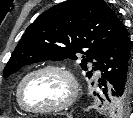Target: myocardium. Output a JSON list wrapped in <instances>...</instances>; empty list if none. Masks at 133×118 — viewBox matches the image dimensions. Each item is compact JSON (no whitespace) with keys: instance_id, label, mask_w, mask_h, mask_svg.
<instances>
[{"instance_id":"obj_1","label":"myocardium","mask_w":133,"mask_h":118,"mask_svg":"<svg viewBox=\"0 0 133 118\" xmlns=\"http://www.w3.org/2000/svg\"><path fill=\"white\" fill-rule=\"evenodd\" d=\"M46 71H53V72L62 74L68 82L69 94L65 100H63L61 103H58L56 105L42 107V108H31L27 106L23 100V87L26 81L31 76L37 73L46 72ZM78 93H79V84L73 71L70 68L66 67L65 65L57 64V63H49V64L38 66L30 70L22 77L17 87V101L20 107L28 113L49 114V113H55V112L65 110L70 106H72L78 97Z\"/></svg>"}]
</instances>
